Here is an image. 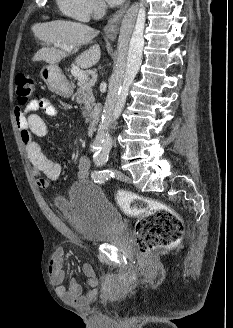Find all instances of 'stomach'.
<instances>
[{
    "label": "stomach",
    "mask_w": 233,
    "mask_h": 328,
    "mask_svg": "<svg viewBox=\"0 0 233 328\" xmlns=\"http://www.w3.org/2000/svg\"><path fill=\"white\" fill-rule=\"evenodd\" d=\"M40 76L51 91L64 97L71 96L72 88L66 82L61 69L57 65L44 66L40 71Z\"/></svg>",
    "instance_id": "obj_1"
}]
</instances>
